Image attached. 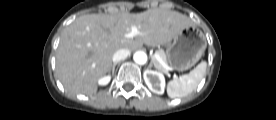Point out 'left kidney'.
<instances>
[{"label": "left kidney", "mask_w": 276, "mask_h": 120, "mask_svg": "<svg viewBox=\"0 0 276 120\" xmlns=\"http://www.w3.org/2000/svg\"><path fill=\"white\" fill-rule=\"evenodd\" d=\"M144 80L148 88L156 93L163 94L165 89V78L162 73L147 69L144 72Z\"/></svg>", "instance_id": "left-kidney-1"}]
</instances>
